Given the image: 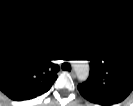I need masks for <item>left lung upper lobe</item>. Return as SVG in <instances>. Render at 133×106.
I'll use <instances>...</instances> for the list:
<instances>
[{
  "label": "left lung upper lobe",
  "mask_w": 133,
  "mask_h": 106,
  "mask_svg": "<svg viewBox=\"0 0 133 106\" xmlns=\"http://www.w3.org/2000/svg\"><path fill=\"white\" fill-rule=\"evenodd\" d=\"M90 61L89 78L79 84L81 95L98 105H115L133 90V56L121 46L95 39L83 46Z\"/></svg>",
  "instance_id": "5c2ea615"
}]
</instances>
